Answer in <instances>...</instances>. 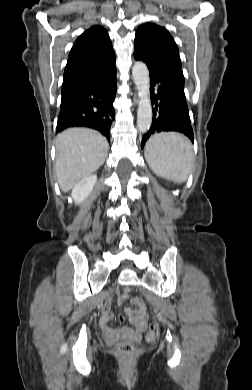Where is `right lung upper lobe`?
I'll return each mask as SVG.
<instances>
[{
  "label": "right lung upper lobe",
  "instance_id": "1",
  "mask_svg": "<svg viewBox=\"0 0 252 390\" xmlns=\"http://www.w3.org/2000/svg\"><path fill=\"white\" fill-rule=\"evenodd\" d=\"M115 66V54L107 31L93 26L75 41L64 70L62 94L77 85L105 76Z\"/></svg>",
  "mask_w": 252,
  "mask_h": 390
}]
</instances>
